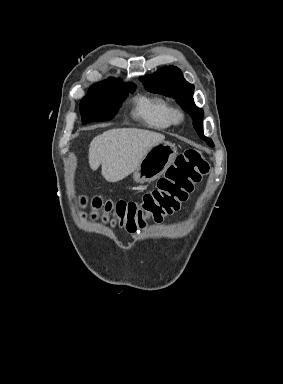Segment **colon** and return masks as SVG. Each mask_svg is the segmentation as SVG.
<instances>
[{"instance_id":"5ec220e1","label":"colon","mask_w":283,"mask_h":384,"mask_svg":"<svg viewBox=\"0 0 283 384\" xmlns=\"http://www.w3.org/2000/svg\"><path fill=\"white\" fill-rule=\"evenodd\" d=\"M209 170V163L201 150L187 149L179 154L157 186L146 192L140 201L93 200V206L102 210L104 219L133 232L143 228L149 219L160 222L177 211L194 185Z\"/></svg>"}]
</instances>
